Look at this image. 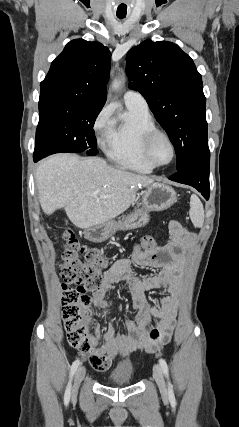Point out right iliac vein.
Listing matches in <instances>:
<instances>
[{
  "label": "right iliac vein",
  "instance_id": "1",
  "mask_svg": "<svg viewBox=\"0 0 239 427\" xmlns=\"http://www.w3.org/2000/svg\"><path fill=\"white\" fill-rule=\"evenodd\" d=\"M85 368L83 366H80L78 368V370L76 371L75 374V378H74V383H73V388H72V397H75L77 395L78 392V388L85 376Z\"/></svg>",
  "mask_w": 239,
  "mask_h": 427
}]
</instances>
